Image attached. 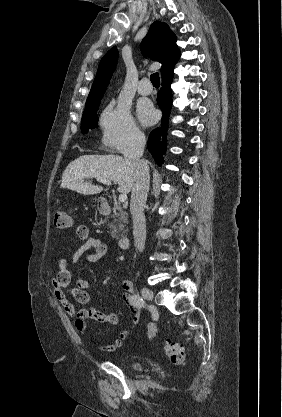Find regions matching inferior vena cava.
Returning a JSON list of instances; mask_svg holds the SVG:
<instances>
[{
	"mask_svg": "<svg viewBox=\"0 0 282 417\" xmlns=\"http://www.w3.org/2000/svg\"><path fill=\"white\" fill-rule=\"evenodd\" d=\"M145 134L141 130H132L130 140L123 150L124 158L131 162L134 168V184L131 192L130 213L133 221V235L139 253L144 251L146 241V221L143 213L144 204L149 190V168L147 162L142 160Z\"/></svg>",
	"mask_w": 282,
	"mask_h": 417,
	"instance_id": "602c4592",
	"label": "inferior vena cava"
}]
</instances>
